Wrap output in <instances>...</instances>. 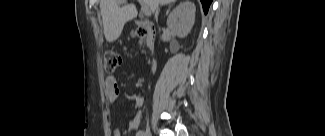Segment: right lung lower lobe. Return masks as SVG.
Returning <instances> with one entry per match:
<instances>
[{"instance_id": "obj_1", "label": "right lung lower lobe", "mask_w": 325, "mask_h": 136, "mask_svg": "<svg viewBox=\"0 0 325 136\" xmlns=\"http://www.w3.org/2000/svg\"><path fill=\"white\" fill-rule=\"evenodd\" d=\"M203 6L204 13L206 14L208 12L209 6L212 2V0H200Z\"/></svg>"}]
</instances>
